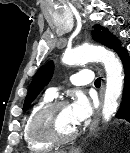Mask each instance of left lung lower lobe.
<instances>
[{
	"mask_svg": "<svg viewBox=\"0 0 130 153\" xmlns=\"http://www.w3.org/2000/svg\"><path fill=\"white\" fill-rule=\"evenodd\" d=\"M106 46L115 50L120 55L125 70L123 100L116 116L130 121V57L127 50L120 47V44L113 36L108 39Z\"/></svg>",
	"mask_w": 130,
	"mask_h": 153,
	"instance_id": "obj_1",
	"label": "left lung lower lobe"
}]
</instances>
